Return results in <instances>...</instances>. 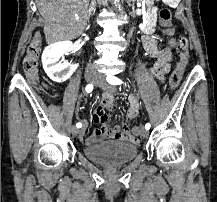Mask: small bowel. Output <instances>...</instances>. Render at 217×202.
<instances>
[{
    "instance_id": "obj_1",
    "label": "small bowel",
    "mask_w": 217,
    "mask_h": 202,
    "mask_svg": "<svg viewBox=\"0 0 217 202\" xmlns=\"http://www.w3.org/2000/svg\"><path fill=\"white\" fill-rule=\"evenodd\" d=\"M145 51L150 57L157 58L158 60L150 69L151 73L155 76L162 77L168 72L169 62L172 54L170 49H161L158 47L157 41L154 37L146 35L142 39ZM171 45V41H170ZM115 93L111 90L104 92L99 102L93 107L91 113V120L99 125V127L93 132V135L89 138L84 137V132L79 133V138L86 145H92L97 140H116L129 142L131 144L139 143V136L142 131H131V128L127 124H122L114 128L107 127V115L106 110L114 109ZM140 111V105L135 96L131 95L128 98V108L126 117L128 121L135 119Z\"/></svg>"
}]
</instances>
